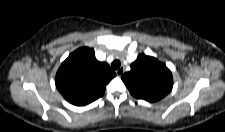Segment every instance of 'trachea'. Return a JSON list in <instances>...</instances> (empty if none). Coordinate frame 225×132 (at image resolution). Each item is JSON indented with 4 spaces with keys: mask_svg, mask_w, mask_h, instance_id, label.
Segmentation results:
<instances>
[{
    "mask_svg": "<svg viewBox=\"0 0 225 132\" xmlns=\"http://www.w3.org/2000/svg\"><path fill=\"white\" fill-rule=\"evenodd\" d=\"M121 63L119 60H114L111 64L112 69L116 70L120 67Z\"/></svg>",
    "mask_w": 225,
    "mask_h": 132,
    "instance_id": "trachea-1",
    "label": "trachea"
}]
</instances>
